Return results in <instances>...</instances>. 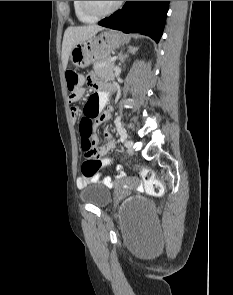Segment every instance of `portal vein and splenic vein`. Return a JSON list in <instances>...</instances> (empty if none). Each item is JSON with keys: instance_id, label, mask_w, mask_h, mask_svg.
I'll list each match as a JSON object with an SVG mask.
<instances>
[{"instance_id": "1", "label": "portal vein and splenic vein", "mask_w": 233, "mask_h": 295, "mask_svg": "<svg viewBox=\"0 0 233 295\" xmlns=\"http://www.w3.org/2000/svg\"><path fill=\"white\" fill-rule=\"evenodd\" d=\"M115 60H116V57L111 58V61H115Z\"/></svg>"}]
</instances>
